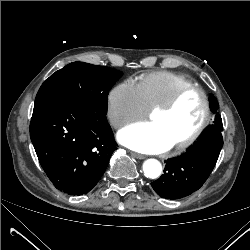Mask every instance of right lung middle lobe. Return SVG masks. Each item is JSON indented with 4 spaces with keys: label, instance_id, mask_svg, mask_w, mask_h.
Listing matches in <instances>:
<instances>
[{
    "label": "right lung middle lobe",
    "instance_id": "dd1d6c3e",
    "mask_svg": "<svg viewBox=\"0 0 250 250\" xmlns=\"http://www.w3.org/2000/svg\"><path fill=\"white\" fill-rule=\"evenodd\" d=\"M123 75L105 66L73 62L52 74L40 87L35 103L66 100L100 113H107V96Z\"/></svg>",
    "mask_w": 250,
    "mask_h": 250
}]
</instances>
